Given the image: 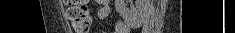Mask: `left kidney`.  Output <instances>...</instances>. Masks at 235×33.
<instances>
[{
	"instance_id": "5707ae66",
	"label": "left kidney",
	"mask_w": 235,
	"mask_h": 33,
	"mask_svg": "<svg viewBox=\"0 0 235 33\" xmlns=\"http://www.w3.org/2000/svg\"><path fill=\"white\" fill-rule=\"evenodd\" d=\"M130 2V7L127 3ZM150 0H115L116 11L121 15L124 21L131 26L140 25L148 11Z\"/></svg>"
}]
</instances>
